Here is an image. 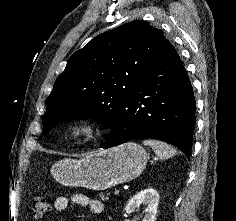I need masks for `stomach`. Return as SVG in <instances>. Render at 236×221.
<instances>
[{"label":"stomach","mask_w":236,"mask_h":221,"mask_svg":"<svg viewBox=\"0 0 236 221\" xmlns=\"http://www.w3.org/2000/svg\"><path fill=\"white\" fill-rule=\"evenodd\" d=\"M148 159L141 145L128 142L81 159L60 160L51 167V173L64 186L105 190L140 176Z\"/></svg>","instance_id":"obj_1"}]
</instances>
